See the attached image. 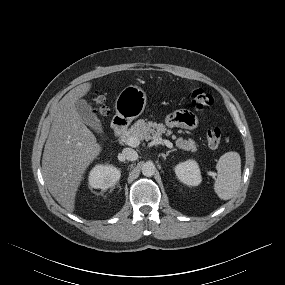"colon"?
I'll list each match as a JSON object with an SVG mask.
<instances>
[{
	"label": "colon",
	"mask_w": 285,
	"mask_h": 285,
	"mask_svg": "<svg viewBox=\"0 0 285 285\" xmlns=\"http://www.w3.org/2000/svg\"><path fill=\"white\" fill-rule=\"evenodd\" d=\"M191 105L196 110H202L206 107L211 106L214 103V97L208 91L202 88H195L192 90ZM95 111L104 116L107 113V109L104 105V98L100 94H96L93 100ZM222 140V130L218 127L211 128L207 131V142L212 148L219 146Z\"/></svg>",
	"instance_id": "obj_1"
}]
</instances>
